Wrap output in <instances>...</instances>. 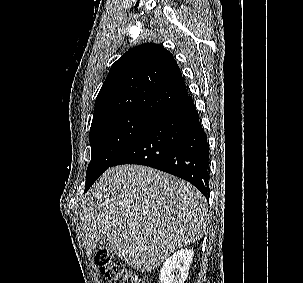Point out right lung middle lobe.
Wrapping results in <instances>:
<instances>
[{
  "label": "right lung middle lobe",
  "instance_id": "right-lung-middle-lobe-1",
  "mask_svg": "<svg viewBox=\"0 0 303 283\" xmlns=\"http://www.w3.org/2000/svg\"><path fill=\"white\" fill-rule=\"evenodd\" d=\"M156 115L128 112L101 119L90 128L91 162L87 168L85 192L113 165Z\"/></svg>",
  "mask_w": 303,
  "mask_h": 283
}]
</instances>
